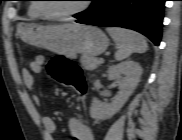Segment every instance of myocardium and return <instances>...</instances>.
<instances>
[{"label":"myocardium","instance_id":"obj_1","mask_svg":"<svg viewBox=\"0 0 182 140\" xmlns=\"http://www.w3.org/2000/svg\"><path fill=\"white\" fill-rule=\"evenodd\" d=\"M88 7H89L88 3L85 2L79 8H77V9H75L73 11L64 12V13H49V12H46L43 9L41 4H37L35 9H36L37 13L39 14V16H41L43 18L59 20V19H64V18H68V17H72V16H75V15L81 14L85 10H87Z\"/></svg>","mask_w":182,"mask_h":140}]
</instances>
